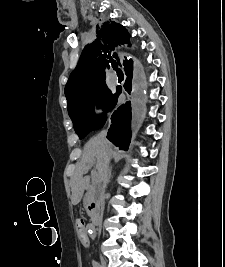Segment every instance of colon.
<instances>
[{
	"mask_svg": "<svg viewBox=\"0 0 225 267\" xmlns=\"http://www.w3.org/2000/svg\"><path fill=\"white\" fill-rule=\"evenodd\" d=\"M75 227L79 235H85V222L83 219H77L75 222Z\"/></svg>",
	"mask_w": 225,
	"mask_h": 267,
	"instance_id": "obj_1",
	"label": "colon"
}]
</instances>
